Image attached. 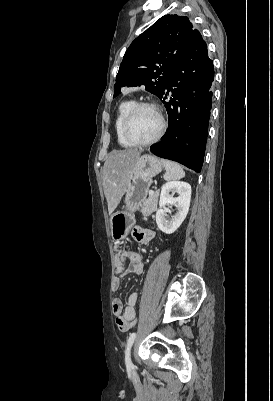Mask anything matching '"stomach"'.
Masks as SVG:
<instances>
[{
  "instance_id": "obj_1",
  "label": "stomach",
  "mask_w": 273,
  "mask_h": 401,
  "mask_svg": "<svg viewBox=\"0 0 273 401\" xmlns=\"http://www.w3.org/2000/svg\"><path fill=\"white\" fill-rule=\"evenodd\" d=\"M162 170V162L157 156L143 154L128 172V186L124 196L125 211L114 213L110 217L111 237L113 241L126 239L136 223L135 211L145 203L153 176Z\"/></svg>"
}]
</instances>
